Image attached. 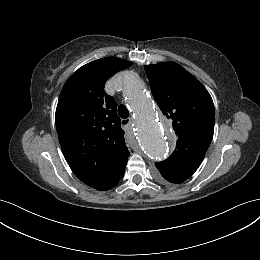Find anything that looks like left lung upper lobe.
<instances>
[{
  "label": "left lung upper lobe",
  "mask_w": 260,
  "mask_h": 260,
  "mask_svg": "<svg viewBox=\"0 0 260 260\" xmlns=\"http://www.w3.org/2000/svg\"><path fill=\"white\" fill-rule=\"evenodd\" d=\"M145 71L156 103L177 135L175 151L156 163L159 175L189 178L202 163L213 138L212 98L193 75L175 62L146 65Z\"/></svg>",
  "instance_id": "obj_1"
}]
</instances>
